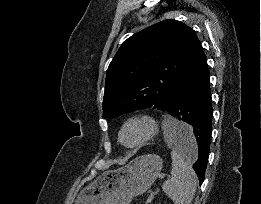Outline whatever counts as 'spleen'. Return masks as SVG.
I'll return each mask as SVG.
<instances>
[{
  "instance_id": "1",
  "label": "spleen",
  "mask_w": 261,
  "mask_h": 204,
  "mask_svg": "<svg viewBox=\"0 0 261 204\" xmlns=\"http://www.w3.org/2000/svg\"><path fill=\"white\" fill-rule=\"evenodd\" d=\"M179 132H188L187 125L177 120H171L169 124L164 126V133L169 146L172 147L176 139L175 134ZM171 158L172 177L163 183L162 189L164 193L171 198L174 204H191L196 192V174L191 165L183 158L177 149L173 147Z\"/></svg>"
}]
</instances>
